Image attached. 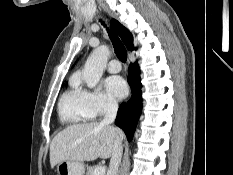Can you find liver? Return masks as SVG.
<instances>
[{
    "label": "liver",
    "instance_id": "1",
    "mask_svg": "<svg viewBox=\"0 0 233 175\" xmlns=\"http://www.w3.org/2000/svg\"><path fill=\"white\" fill-rule=\"evenodd\" d=\"M120 129L98 122L74 124L59 132L50 145L51 168L62 161H93L112 156L116 142H122Z\"/></svg>",
    "mask_w": 233,
    "mask_h": 175
}]
</instances>
